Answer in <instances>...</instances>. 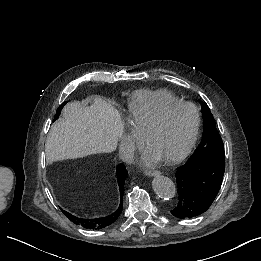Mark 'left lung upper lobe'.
Here are the masks:
<instances>
[{
  "label": "left lung upper lobe",
  "instance_id": "obj_1",
  "mask_svg": "<svg viewBox=\"0 0 261 261\" xmlns=\"http://www.w3.org/2000/svg\"><path fill=\"white\" fill-rule=\"evenodd\" d=\"M202 116L204 123L203 136L193 154L211 153L217 156H224V146L221 136L217 132L213 115L206 104L202 106Z\"/></svg>",
  "mask_w": 261,
  "mask_h": 261
}]
</instances>
